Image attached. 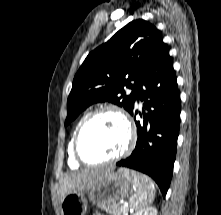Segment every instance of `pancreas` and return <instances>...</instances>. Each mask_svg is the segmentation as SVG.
Instances as JSON below:
<instances>
[{
    "instance_id": "obj_1",
    "label": "pancreas",
    "mask_w": 221,
    "mask_h": 215,
    "mask_svg": "<svg viewBox=\"0 0 221 215\" xmlns=\"http://www.w3.org/2000/svg\"><path fill=\"white\" fill-rule=\"evenodd\" d=\"M101 208L112 215H128V210L121 207L118 203L109 206L102 205Z\"/></svg>"
}]
</instances>
